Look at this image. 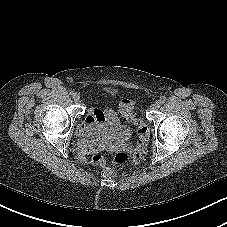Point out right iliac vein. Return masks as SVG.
<instances>
[{"mask_svg":"<svg viewBox=\"0 0 227 227\" xmlns=\"http://www.w3.org/2000/svg\"><path fill=\"white\" fill-rule=\"evenodd\" d=\"M73 100H74L75 102H78V101L80 100V94H79V93H75V94L73 95Z\"/></svg>","mask_w":227,"mask_h":227,"instance_id":"obj_1","label":"right iliac vein"}]
</instances>
